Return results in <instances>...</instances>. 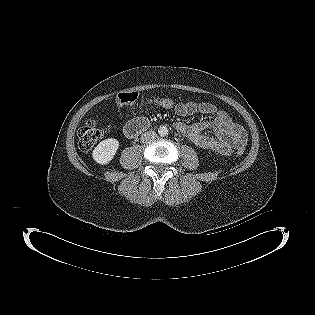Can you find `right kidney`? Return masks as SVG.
I'll return each instance as SVG.
<instances>
[{"label":"right kidney","instance_id":"obj_1","mask_svg":"<svg viewBox=\"0 0 315 315\" xmlns=\"http://www.w3.org/2000/svg\"><path fill=\"white\" fill-rule=\"evenodd\" d=\"M119 148V141L108 138L101 141L93 150L92 157L98 164L106 165L114 158Z\"/></svg>","mask_w":315,"mask_h":315}]
</instances>
